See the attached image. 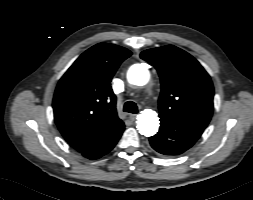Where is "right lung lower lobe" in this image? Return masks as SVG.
<instances>
[{
	"mask_svg": "<svg viewBox=\"0 0 253 200\" xmlns=\"http://www.w3.org/2000/svg\"><path fill=\"white\" fill-rule=\"evenodd\" d=\"M123 130H121L120 132L115 134L113 137H111L108 141H106L101 146L91 149L89 151L83 152L82 153L83 156L88 159L95 160V159H98L101 156L107 154L109 151H111L114 148L117 141L120 139V137L123 133Z\"/></svg>",
	"mask_w": 253,
	"mask_h": 200,
	"instance_id": "right-lung-lower-lobe-1",
	"label": "right lung lower lobe"
}]
</instances>
